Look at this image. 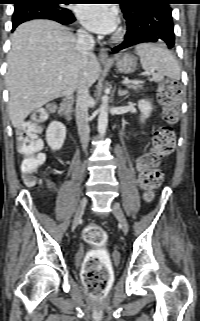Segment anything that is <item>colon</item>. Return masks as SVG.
Returning a JSON list of instances; mask_svg holds the SVG:
<instances>
[{"instance_id": "obj_1", "label": "colon", "mask_w": 200, "mask_h": 321, "mask_svg": "<svg viewBox=\"0 0 200 321\" xmlns=\"http://www.w3.org/2000/svg\"><path fill=\"white\" fill-rule=\"evenodd\" d=\"M181 87L175 80L166 79L157 89V99L162 107L163 117L168 125L159 128L153 137L151 150L138 159L139 183L147 200L153 198L156 189L163 181L159 169L162 158L170 155L176 138L171 125L179 119V98ZM47 110L35 111L30 119L22 123L17 131V146L21 159V170L27 185L35 183V173L44 161L42 141L38 134L41 124L46 120ZM84 240L95 249L86 257L82 279L86 289L96 298H102L108 288L110 270L108 258L103 251L108 236L98 225L90 224L83 231Z\"/></svg>"}]
</instances>
